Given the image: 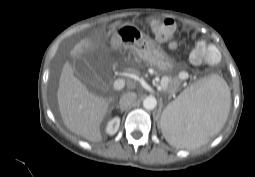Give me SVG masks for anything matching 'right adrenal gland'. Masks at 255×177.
Wrapping results in <instances>:
<instances>
[{
    "label": "right adrenal gland",
    "instance_id": "2a0ac1e0",
    "mask_svg": "<svg viewBox=\"0 0 255 177\" xmlns=\"http://www.w3.org/2000/svg\"><path fill=\"white\" fill-rule=\"evenodd\" d=\"M116 108L120 109L121 113H123L125 111V108H122L119 105H117Z\"/></svg>",
    "mask_w": 255,
    "mask_h": 177
}]
</instances>
